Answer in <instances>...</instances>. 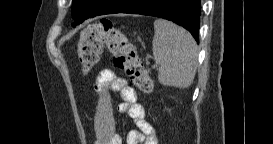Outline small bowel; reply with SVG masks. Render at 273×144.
<instances>
[{
  "label": "small bowel",
  "instance_id": "obj_1",
  "mask_svg": "<svg viewBox=\"0 0 273 144\" xmlns=\"http://www.w3.org/2000/svg\"><path fill=\"white\" fill-rule=\"evenodd\" d=\"M97 97L94 127L97 144H122L115 124L111 92L120 95L118 110L133 121L136 129L126 135L127 144H158V139L152 125L147 121L145 109L138 102L135 89L111 69H103L94 83Z\"/></svg>",
  "mask_w": 273,
  "mask_h": 144
}]
</instances>
